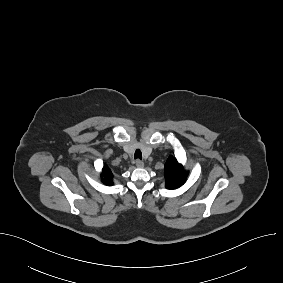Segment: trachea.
Segmentation results:
<instances>
[{"mask_svg":"<svg viewBox=\"0 0 283 283\" xmlns=\"http://www.w3.org/2000/svg\"><path fill=\"white\" fill-rule=\"evenodd\" d=\"M134 158L135 159H142V153H141V151L139 150V149H137L136 151H135V154H134Z\"/></svg>","mask_w":283,"mask_h":283,"instance_id":"obj_1","label":"trachea"}]
</instances>
